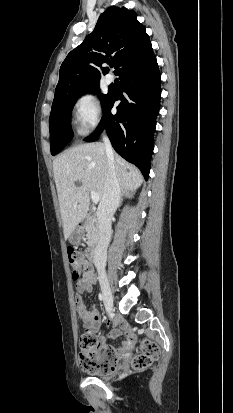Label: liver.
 Wrapping results in <instances>:
<instances>
[{"mask_svg": "<svg viewBox=\"0 0 233 413\" xmlns=\"http://www.w3.org/2000/svg\"><path fill=\"white\" fill-rule=\"evenodd\" d=\"M114 166L122 189L135 191L143 182L140 171L118 154ZM108 172V157L101 142L81 144L67 149L53 161L54 180L67 240L73 230L86 217L90 192L104 194ZM80 182V185H76Z\"/></svg>", "mask_w": 233, "mask_h": 413, "instance_id": "obj_1", "label": "liver"}]
</instances>
